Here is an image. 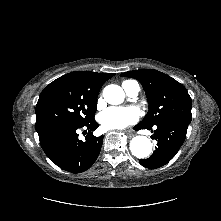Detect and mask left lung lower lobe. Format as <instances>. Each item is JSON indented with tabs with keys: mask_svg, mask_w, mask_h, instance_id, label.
I'll return each mask as SVG.
<instances>
[{
	"mask_svg": "<svg viewBox=\"0 0 221 221\" xmlns=\"http://www.w3.org/2000/svg\"><path fill=\"white\" fill-rule=\"evenodd\" d=\"M187 123L183 122H166L152 127H146L141 124H137L134 129H148L154 132V138L157 140V147L153 154L144 160H139V163L150 169H156L167 164L179 151L180 147L185 141Z\"/></svg>",
	"mask_w": 221,
	"mask_h": 221,
	"instance_id": "obj_1",
	"label": "left lung lower lobe"
}]
</instances>
